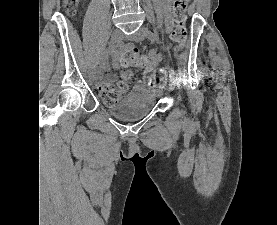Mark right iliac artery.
Listing matches in <instances>:
<instances>
[{"label":"right iliac artery","instance_id":"82829eb1","mask_svg":"<svg viewBox=\"0 0 277 225\" xmlns=\"http://www.w3.org/2000/svg\"><path fill=\"white\" fill-rule=\"evenodd\" d=\"M118 45H119V43L114 44V43L110 42L108 47H106L103 50L100 60L98 62L97 68L95 70V77H98V78L100 77L101 68L107 58L108 53H110L112 50H114Z\"/></svg>","mask_w":277,"mask_h":225}]
</instances>
